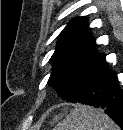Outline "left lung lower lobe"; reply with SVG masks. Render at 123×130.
I'll list each match as a JSON object with an SVG mask.
<instances>
[{"instance_id": "left-lung-lower-lobe-1", "label": "left lung lower lobe", "mask_w": 123, "mask_h": 130, "mask_svg": "<svg viewBox=\"0 0 123 130\" xmlns=\"http://www.w3.org/2000/svg\"><path fill=\"white\" fill-rule=\"evenodd\" d=\"M76 103L104 109L123 129V90L116 74L108 69L105 55L93 67Z\"/></svg>"}]
</instances>
